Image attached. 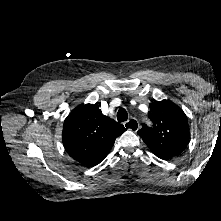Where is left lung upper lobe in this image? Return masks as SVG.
Masks as SVG:
<instances>
[{"label": "left lung upper lobe", "instance_id": "left-lung-upper-lobe-1", "mask_svg": "<svg viewBox=\"0 0 221 221\" xmlns=\"http://www.w3.org/2000/svg\"><path fill=\"white\" fill-rule=\"evenodd\" d=\"M149 107L153 127L144 124L138 134L151 151L169 154L184 150L189 143V127L183 110L168 100L151 103Z\"/></svg>", "mask_w": 221, "mask_h": 221}]
</instances>
